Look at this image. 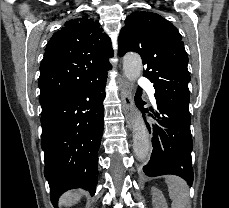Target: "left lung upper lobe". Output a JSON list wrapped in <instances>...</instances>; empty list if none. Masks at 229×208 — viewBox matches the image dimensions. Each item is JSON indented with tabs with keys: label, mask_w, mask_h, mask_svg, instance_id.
I'll list each match as a JSON object with an SVG mask.
<instances>
[{
	"label": "left lung upper lobe",
	"mask_w": 229,
	"mask_h": 208,
	"mask_svg": "<svg viewBox=\"0 0 229 208\" xmlns=\"http://www.w3.org/2000/svg\"><path fill=\"white\" fill-rule=\"evenodd\" d=\"M118 45L120 56L129 51L140 54L157 101L190 115L188 56L171 22L153 12L135 11L126 18Z\"/></svg>",
	"instance_id": "1"
}]
</instances>
